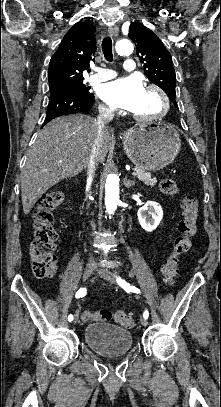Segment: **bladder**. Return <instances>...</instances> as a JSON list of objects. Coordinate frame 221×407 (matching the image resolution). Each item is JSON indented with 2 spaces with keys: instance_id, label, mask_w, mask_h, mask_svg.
<instances>
[{
  "instance_id": "obj_1",
  "label": "bladder",
  "mask_w": 221,
  "mask_h": 407,
  "mask_svg": "<svg viewBox=\"0 0 221 407\" xmlns=\"http://www.w3.org/2000/svg\"><path fill=\"white\" fill-rule=\"evenodd\" d=\"M84 341L94 352L104 357L126 354L132 347L133 335L127 328L109 323H92L84 329Z\"/></svg>"
}]
</instances>
